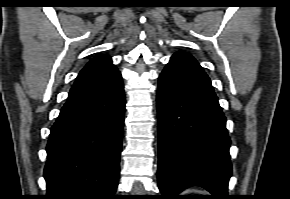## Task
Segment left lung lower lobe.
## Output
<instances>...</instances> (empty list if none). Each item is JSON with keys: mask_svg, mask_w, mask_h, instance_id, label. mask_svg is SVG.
I'll return each instance as SVG.
<instances>
[{"mask_svg": "<svg viewBox=\"0 0 290 199\" xmlns=\"http://www.w3.org/2000/svg\"><path fill=\"white\" fill-rule=\"evenodd\" d=\"M158 185L164 199L189 186L227 197L231 176L226 118L211 81L190 54L175 53L159 77Z\"/></svg>", "mask_w": 290, "mask_h": 199, "instance_id": "0a47b994", "label": "left lung lower lobe"}]
</instances>
